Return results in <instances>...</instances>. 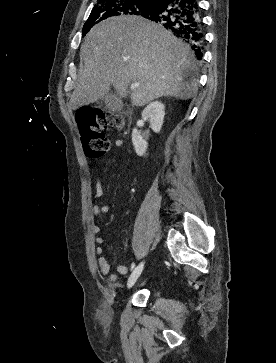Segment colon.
Segmentation results:
<instances>
[{
  "label": "colon",
  "instance_id": "obj_1",
  "mask_svg": "<svg viewBox=\"0 0 276 363\" xmlns=\"http://www.w3.org/2000/svg\"><path fill=\"white\" fill-rule=\"evenodd\" d=\"M76 120L80 127L84 151L90 158H99L108 151L110 143L106 130L123 125L121 116L94 109L79 111Z\"/></svg>",
  "mask_w": 276,
  "mask_h": 363
}]
</instances>
